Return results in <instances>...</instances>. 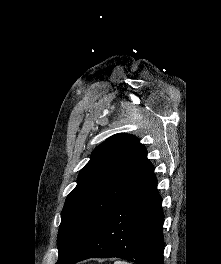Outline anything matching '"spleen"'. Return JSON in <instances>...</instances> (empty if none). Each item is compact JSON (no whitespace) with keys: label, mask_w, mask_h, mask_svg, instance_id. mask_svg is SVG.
<instances>
[{"label":"spleen","mask_w":221,"mask_h":264,"mask_svg":"<svg viewBox=\"0 0 221 264\" xmlns=\"http://www.w3.org/2000/svg\"><path fill=\"white\" fill-rule=\"evenodd\" d=\"M114 264H130V263L118 260V261H115Z\"/></svg>","instance_id":"1"}]
</instances>
